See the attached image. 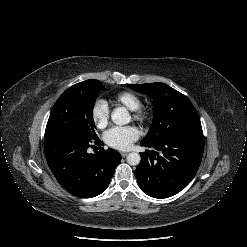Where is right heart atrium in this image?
<instances>
[{
	"mask_svg": "<svg viewBox=\"0 0 247 247\" xmlns=\"http://www.w3.org/2000/svg\"><path fill=\"white\" fill-rule=\"evenodd\" d=\"M109 116L110 110L108 104L103 99L95 100L91 107V117L95 125L103 128L108 123Z\"/></svg>",
	"mask_w": 247,
	"mask_h": 247,
	"instance_id": "obj_1",
	"label": "right heart atrium"
}]
</instances>
